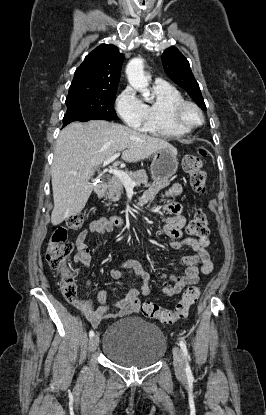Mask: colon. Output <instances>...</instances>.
Instances as JSON below:
<instances>
[{
  "label": "colon",
  "mask_w": 266,
  "mask_h": 415,
  "mask_svg": "<svg viewBox=\"0 0 266 415\" xmlns=\"http://www.w3.org/2000/svg\"><path fill=\"white\" fill-rule=\"evenodd\" d=\"M206 156L204 148H198L194 153L187 154L182 161L183 170L188 174L190 185L199 194L206 189V172L202 169V159ZM84 222L83 214L69 217L65 227H58L52 234L46 249V260L50 267L56 270L61 278V291L69 302L78 298L76 270L68 266L73 245L68 240L67 229L77 230ZM187 232L198 238H207L209 226L203 211H197L187 226ZM200 295V287L193 285L181 296L173 309L162 308L156 303L145 302L140 310L147 318L158 319L164 324H172L188 316L189 310Z\"/></svg>",
  "instance_id": "colon-1"
}]
</instances>
